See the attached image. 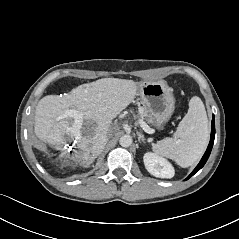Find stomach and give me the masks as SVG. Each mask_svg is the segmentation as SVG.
I'll list each match as a JSON object with an SVG mask.
<instances>
[{"instance_id":"0dacf381","label":"stomach","mask_w":239,"mask_h":239,"mask_svg":"<svg viewBox=\"0 0 239 239\" xmlns=\"http://www.w3.org/2000/svg\"><path fill=\"white\" fill-rule=\"evenodd\" d=\"M137 94L150 112L154 124L161 129L174 112L175 98L172 89L165 81L141 82Z\"/></svg>"}]
</instances>
